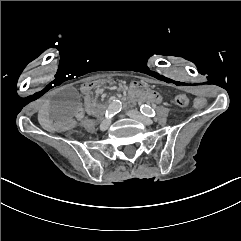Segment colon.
<instances>
[{
	"instance_id": "colon-1",
	"label": "colon",
	"mask_w": 241,
	"mask_h": 241,
	"mask_svg": "<svg viewBox=\"0 0 241 241\" xmlns=\"http://www.w3.org/2000/svg\"><path fill=\"white\" fill-rule=\"evenodd\" d=\"M177 102L178 104L180 105H185L187 104L188 102V97L187 95L185 94H180L178 95L177 97ZM189 104V102H188ZM188 104L186 106H188ZM184 106V107H186ZM191 107L193 110L195 111H199V110H202V111H205L208 109L209 107V104L207 101L204 100V98L202 97H197L195 98V100L192 102L191 104ZM86 116V110L84 108H79L77 111H76V117L80 120V119H83L84 117Z\"/></svg>"
}]
</instances>
